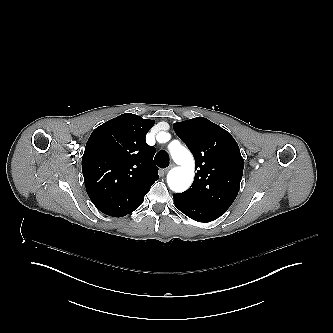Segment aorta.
Returning <instances> with one entry per match:
<instances>
[{"instance_id":"762f6f07","label":"aorta","mask_w":333,"mask_h":333,"mask_svg":"<svg viewBox=\"0 0 333 333\" xmlns=\"http://www.w3.org/2000/svg\"><path fill=\"white\" fill-rule=\"evenodd\" d=\"M169 151L172 159L175 162H180L181 167H177L176 171H169L167 174V183L169 188L176 192L181 193L186 191L194 177V161L191 153L182 145H169Z\"/></svg>"}]
</instances>
